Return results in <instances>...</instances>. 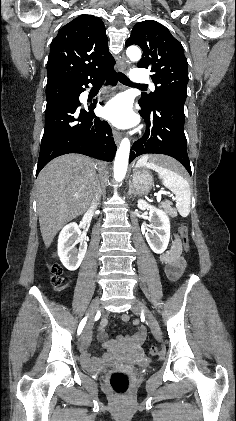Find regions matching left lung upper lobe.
<instances>
[{
  "label": "left lung upper lobe",
  "instance_id": "obj_1",
  "mask_svg": "<svg viewBox=\"0 0 236 421\" xmlns=\"http://www.w3.org/2000/svg\"><path fill=\"white\" fill-rule=\"evenodd\" d=\"M136 44L143 50L139 68L151 69L154 92L139 100L142 109H152L166 96L186 99L188 63L182 45L161 24L153 20L137 23L125 45Z\"/></svg>",
  "mask_w": 236,
  "mask_h": 421
}]
</instances>
